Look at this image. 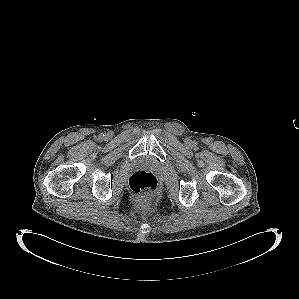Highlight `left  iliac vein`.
Instances as JSON below:
<instances>
[{"label":"left iliac vein","mask_w":299,"mask_h":299,"mask_svg":"<svg viewBox=\"0 0 299 299\" xmlns=\"http://www.w3.org/2000/svg\"><path fill=\"white\" fill-rule=\"evenodd\" d=\"M186 144H187V145H190V144H191V142H190L189 140H187V141H186Z\"/></svg>","instance_id":"obj_1"}]
</instances>
